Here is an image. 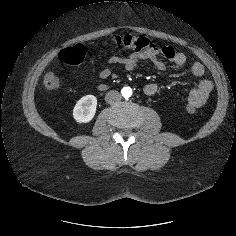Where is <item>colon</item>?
<instances>
[{"label": "colon", "instance_id": "obj_1", "mask_svg": "<svg viewBox=\"0 0 236 236\" xmlns=\"http://www.w3.org/2000/svg\"><path fill=\"white\" fill-rule=\"evenodd\" d=\"M118 47L133 52H144L151 50L153 43L144 37H138L130 34L118 35L111 37L109 40L103 42L102 47ZM89 52L87 48L81 44L67 47L59 53V60L62 63L76 66L81 64L88 56ZM43 87L46 91H56L61 87V80L57 75L50 72L45 75L43 80ZM190 112H194L195 109L192 106H188Z\"/></svg>", "mask_w": 236, "mask_h": 236}]
</instances>
